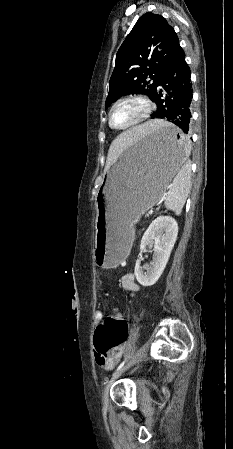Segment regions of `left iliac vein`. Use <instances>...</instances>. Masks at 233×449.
I'll list each match as a JSON object with an SVG mask.
<instances>
[{"mask_svg":"<svg viewBox=\"0 0 233 449\" xmlns=\"http://www.w3.org/2000/svg\"><path fill=\"white\" fill-rule=\"evenodd\" d=\"M131 362H128L127 364H125L120 370H118L110 379V381L107 383L104 392H103V406L105 409L108 408L109 406V391L110 388L112 386V384L130 367Z\"/></svg>","mask_w":233,"mask_h":449,"instance_id":"1","label":"left iliac vein"}]
</instances>
